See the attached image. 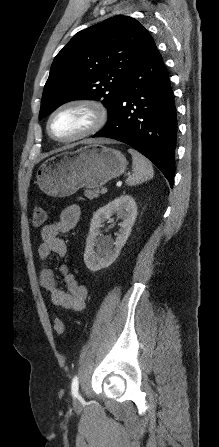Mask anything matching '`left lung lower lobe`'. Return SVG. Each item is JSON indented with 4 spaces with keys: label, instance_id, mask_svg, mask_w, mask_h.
<instances>
[{
    "label": "left lung lower lobe",
    "instance_id": "0a47b994",
    "mask_svg": "<svg viewBox=\"0 0 219 447\" xmlns=\"http://www.w3.org/2000/svg\"><path fill=\"white\" fill-rule=\"evenodd\" d=\"M93 137L112 138L132 146L173 186L176 109L169 76L153 38L131 69L106 126Z\"/></svg>",
    "mask_w": 219,
    "mask_h": 447
}]
</instances>
